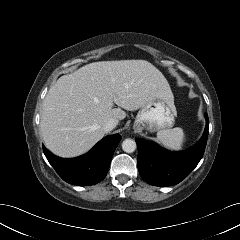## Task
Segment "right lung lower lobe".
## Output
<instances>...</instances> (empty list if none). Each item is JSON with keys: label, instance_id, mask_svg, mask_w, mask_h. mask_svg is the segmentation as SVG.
Instances as JSON below:
<instances>
[{"label": "right lung lower lobe", "instance_id": "obj_1", "mask_svg": "<svg viewBox=\"0 0 240 240\" xmlns=\"http://www.w3.org/2000/svg\"><path fill=\"white\" fill-rule=\"evenodd\" d=\"M119 142V134L109 135L100 140L87 154L71 159L53 155L44 145L43 151L64 181L78 186H90L105 178Z\"/></svg>", "mask_w": 240, "mask_h": 240}]
</instances>
